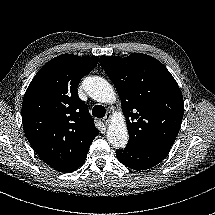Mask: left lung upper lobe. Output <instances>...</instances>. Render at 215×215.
I'll use <instances>...</instances> for the list:
<instances>
[{"instance_id": "5c2ea615", "label": "left lung upper lobe", "mask_w": 215, "mask_h": 215, "mask_svg": "<svg viewBox=\"0 0 215 215\" xmlns=\"http://www.w3.org/2000/svg\"><path fill=\"white\" fill-rule=\"evenodd\" d=\"M101 67L121 99L129 132L128 146L171 147L181 126V90L167 68L141 53L101 56Z\"/></svg>"}]
</instances>
